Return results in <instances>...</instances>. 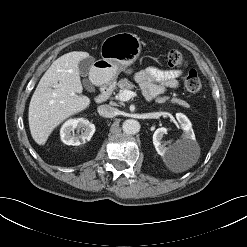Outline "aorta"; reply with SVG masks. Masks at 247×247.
Segmentation results:
<instances>
[{"instance_id": "aorta-1", "label": "aorta", "mask_w": 247, "mask_h": 247, "mask_svg": "<svg viewBox=\"0 0 247 247\" xmlns=\"http://www.w3.org/2000/svg\"><path fill=\"white\" fill-rule=\"evenodd\" d=\"M122 129L126 134H136L140 130V123L134 119H127L123 122Z\"/></svg>"}]
</instances>
